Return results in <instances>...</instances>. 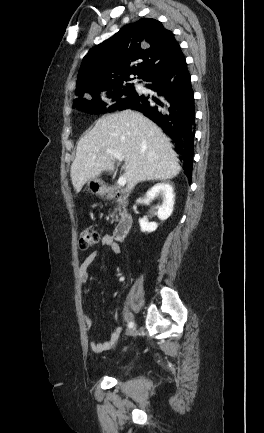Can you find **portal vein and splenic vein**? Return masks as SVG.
Returning <instances> with one entry per match:
<instances>
[{
	"mask_svg": "<svg viewBox=\"0 0 264 433\" xmlns=\"http://www.w3.org/2000/svg\"><path fill=\"white\" fill-rule=\"evenodd\" d=\"M105 153L108 154V155H110L111 157L117 159L120 162L124 160V155L122 153L114 150V149H105ZM93 158L95 159V157H93ZM126 183H127V179H126L125 176L119 177V179H118V185L120 187L125 186Z\"/></svg>",
	"mask_w": 264,
	"mask_h": 433,
	"instance_id": "obj_1",
	"label": "portal vein and splenic vein"
}]
</instances>
